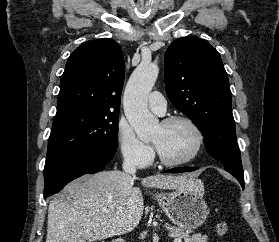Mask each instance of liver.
Instances as JSON below:
<instances>
[{"label": "liver", "mask_w": 279, "mask_h": 242, "mask_svg": "<svg viewBox=\"0 0 279 242\" xmlns=\"http://www.w3.org/2000/svg\"><path fill=\"white\" fill-rule=\"evenodd\" d=\"M134 177L113 170L85 175L65 189L48 207L46 242H93L126 234L140 222L142 192ZM145 187L199 189L202 183L187 175L156 174L141 180Z\"/></svg>", "instance_id": "1"}]
</instances>
